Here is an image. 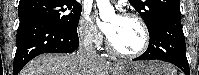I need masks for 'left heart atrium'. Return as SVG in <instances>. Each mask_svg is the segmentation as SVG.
<instances>
[{"mask_svg": "<svg viewBox=\"0 0 199 75\" xmlns=\"http://www.w3.org/2000/svg\"><path fill=\"white\" fill-rule=\"evenodd\" d=\"M116 26V23H102L101 29L110 38L115 32Z\"/></svg>", "mask_w": 199, "mask_h": 75, "instance_id": "1", "label": "left heart atrium"}]
</instances>
